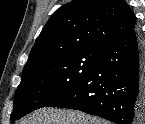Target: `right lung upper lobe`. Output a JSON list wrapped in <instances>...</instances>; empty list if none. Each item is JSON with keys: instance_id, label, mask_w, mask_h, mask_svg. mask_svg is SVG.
Instances as JSON below:
<instances>
[{"instance_id": "right-lung-upper-lobe-1", "label": "right lung upper lobe", "mask_w": 145, "mask_h": 124, "mask_svg": "<svg viewBox=\"0 0 145 124\" xmlns=\"http://www.w3.org/2000/svg\"><path fill=\"white\" fill-rule=\"evenodd\" d=\"M136 20L124 0H74L61 6L35 41L23 74L59 57L101 53L135 29ZM22 74V75H23Z\"/></svg>"}]
</instances>
